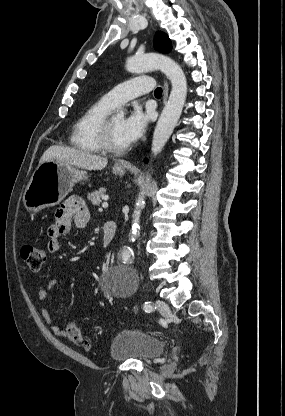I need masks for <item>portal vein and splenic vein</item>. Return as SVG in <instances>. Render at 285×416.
Returning a JSON list of instances; mask_svg holds the SVG:
<instances>
[{"instance_id": "1", "label": "portal vein and splenic vein", "mask_w": 285, "mask_h": 416, "mask_svg": "<svg viewBox=\"0 0 285 416\" xmlns=\"http://www.w3.org/2000/svg\"><path fill=\"white\" fill-rule=\"evenodd\" d=\"M102 208H108V204H107L106 200H105V202H103Z\"/></svg>"}]
</instances>
